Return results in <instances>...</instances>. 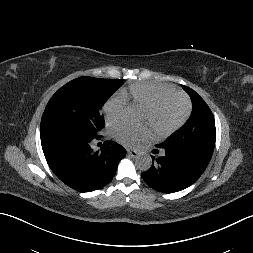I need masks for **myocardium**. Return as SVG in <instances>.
<instances>
[{"instance_id":"1","label":"myocardium","mask_w":253,"mask_h":253,"mask_svg":"<svg viewBox=\"0 0 253 253\" xmlns=\"http://www.w3.org/2000/svg\"><path fill=\"white\" fill-rule=\"evenodd\" d=\"M167 98L178 99L183 105V113L181 117L175 123H173L172 125L168 127L161 128L155 123L154 116L158 108L162 104V102ZM191 109H192L191 102L186 95L178 91H171V92H165L159 95L149 106L145 108V112L148 114V122L154 129L155 134L159 138H165V137L170 136L177 130H179L187 122L191 114Z\"/></svg>"}]
</instances>
